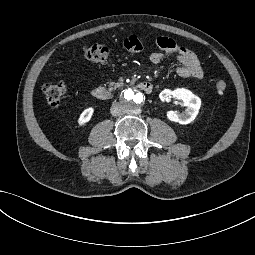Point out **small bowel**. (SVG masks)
Instances as JSON below:
<instances>
[{
	"label": "small bowel",
	"mask_w": 255,
	"mask_h": 255,
	"mask_svg": "<svg viewBox=\"0 0 255 255\" xmlns=\"http://www.w3.org/2000/svg\"><path fill=\"white\" fill-rule=\"evenodd\" d=\"M158 51L150 55V61L154 64L161 63L167 55L174 57L179 63L177 74L182 78L203 77V70L197 56L188 48L178 45L173 39L159 37L156 41Z\"/></svg>",
	"instance_id": "1"
}]
</instances>
